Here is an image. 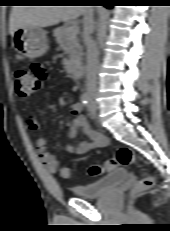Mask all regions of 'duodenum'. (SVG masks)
<instances>
[{
    "label": "duodenum",
    "instance_id": "1",
    "mask_svg": "<svg viewBox=\"0 0 170 231\" xmlns=\"http://www.w3.org/2000/svg\"><path fill=\"white\" fill-rule=\"evenodd\" d=\"M85 71H86L85 66L79 65V66L76 68L75 73H76V74H79V75H82V74H85Z\"/></svg>",
    "mask_w": 170,
    "mask_h": 231
}]
</instances>
